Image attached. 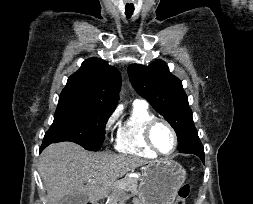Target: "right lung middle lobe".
Wrapping results in <instances>:
<instances>
[{"label":"right lung middle lobe","instance_id":"dd1d6c3e","mask_svg":"<svg viewBox=\"0 0 253 204\" xmlns=\"http://www.w3.org/2000/svg\"><path fill=\"white\" fill-rule=\"evenodd\" d=\"M113 110L76 95L61 93L54 121L43 142L72 141L87 150H100L105 125Z\"/></svg>","mask_w":253,"mask_h":204}]
</instances>
